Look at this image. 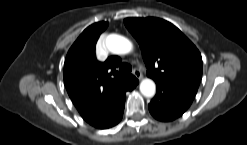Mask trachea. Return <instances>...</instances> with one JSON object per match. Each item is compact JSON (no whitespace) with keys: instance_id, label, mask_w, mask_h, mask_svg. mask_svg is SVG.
<instances>
[{"instance_id":"obj_1","label":"trachea","mask_w":247,"mask_h":145,"mask_svg":"<svg viewBox=\"0 0 247 145\" xmlns=\"http://www.w3.org/2000/svg\"><path fill=\"white\" fill-rule=\"evenodd\" d=\"M132 71L131 65L128 63H122L119 68V73L124 74V73H130Z\"/></svg>"}]
</instances>
